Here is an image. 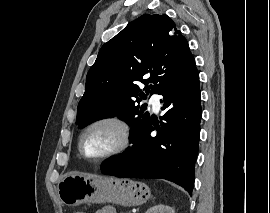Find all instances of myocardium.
<instances>
[{"label": "myocardium", "instance_id": "myocardium-1", "mask_svg": "<svg viewBox=\"0 0 270 213\" xmlns=\"http://www.w3.org/2000/svg\"><path fill=\"white\" fill-rule=\"evenodd\" d=\"M100 125H109L116 128L120 134V141L114 148H112L105 154L99 157H90L85 153L83 149V141H84L85 135L90 130ZM129 142H130V130H129L128 124L123 119L117 116L107 115V116H101L92 120L84 127L78 139V150L84 159L90 162H102L122 153L127 148Z\"/></svg>", "mask_w": 270, "mask_h": 213}]
</instances>
